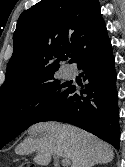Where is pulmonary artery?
Wrapping results in <instances>:
<instances>
[{
  "label": "pulmonary artery",
  "mask_w": 125,
  "mask_h": 167,
  "mask_svg": "<svg viewBox=\"0 0 125 167\" xmlns=\"http://www.w3.org/2000/svg\"><path fill=\"white\" fill-rule=\"evenodd\" d=\"M72 76V72H68L65 74V78H70Z\"/></svg>",
  "instance_id": "obj_1"
}]
</instances>
